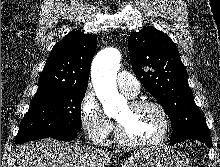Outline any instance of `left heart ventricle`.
<instances>
[{
  "instance_id": "left-heart-ventricle-1",
  "label": "left heart ventricle",
  "mask_w": 220,
  "mask_h": 167,
  "mask_svg": "<svg viewBox=\"0 0 220 167\" xmlns=\"http://www.w3.org/2000/svg\"><path fill=\"white\" fill-rule=\"evenodd\" d=\"M125 134L133 140H150L163 130L160 113L153 107L132 108L125 106L116 116Z\"/></svg>"
}]
</instances>
